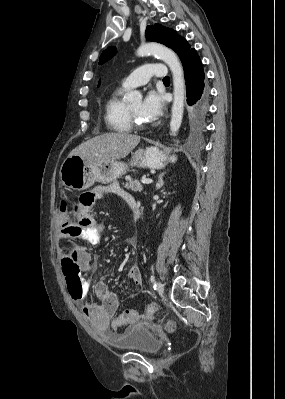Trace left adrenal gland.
<instances>
[{
    "label": "left adrenal gland",
    "instance_id": "left-adrenal-gland-1",
    "mask_svg": "<svg viewBox=\"0 0 285 399\" xmlns=\"http://www.w3.org/2000/svg\"><path fill=\"white\" fill-rule=\"evenodd\" d=\"M166 174V172H163L159 175L158 177V182L156 184V190H159L160 188H162L165 184V182L163 181V177Z\"/></svg>",
    "mask_w": 285,
    "mask_h": 399
}]
</instances>
